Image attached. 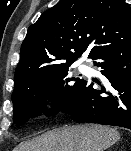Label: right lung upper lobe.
<instances>
[{"mask_svg":"<svg viewBox=\"0 0 131 151\" xmlns=\"http://www.w3.org/2000/svg\"><path fill=\"white\" fill-rule=\"evenodd\" d=\"M131 33V11L124 0H61L32 24L21 46L15 87L70 66L82 53Z\"/></svg>","mask_w":131,"mask_h":151,"instance_id":"cb5924a9","label":"right lung upper lobe"}]
</instances>
